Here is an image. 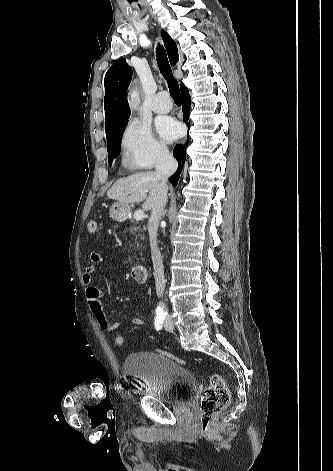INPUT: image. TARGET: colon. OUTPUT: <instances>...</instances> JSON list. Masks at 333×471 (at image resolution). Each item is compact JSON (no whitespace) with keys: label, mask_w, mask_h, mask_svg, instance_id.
Listing matches in <instances>:
<instances>
[{"label":"colon","mask_w":333,"mask_h":471,"mask_svg":"<svg viewBox=\"0 0 333 471\" xmlns=\"http://www.w3.org/2000/svg\"><path fill=\"white\" fill-rule=\"evenodd\" d=\"M88 231L96 233L98 230V223L95 220L89 221ZM114 344L118 347L125 345V337L121 334L114 336ZM158 353L180 363L185 364V361L165 350H159ZM230 402V392L224 379L218 374H211L209 376V385L201 397L200 405V427L204 432H209L212 428L215 416L224 410Z\"/></svg>","instance_id":"colon-1"}]
</instances>
